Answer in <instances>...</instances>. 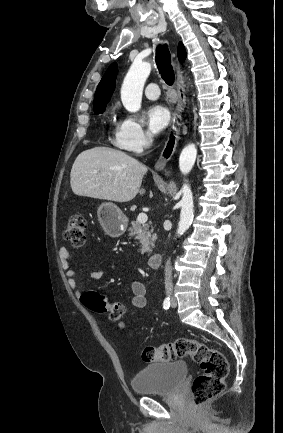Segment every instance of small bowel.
I'll list each match as a JSON object with an SVG mask.
<instances>
[{
	"mask_svg": "<svg viewBox=\"0 0 283 433\" xmlns=\"http://www.w3.org/2000/svg\"><path fill=\"white\" fill-rule=\"evenodd\" d=\"M59 257L71 290L76 297H80L81 292L75 278L76 272L71 266V260L73 259L72 253L66 247H61L59 249ZM104 274L105 272L103 270L93 271L90 273V277L93 280H101ZM130 290L132 305L138 309L144 308L147 304L145 285L140 281H133L130 285Z\"/></svg>",
	"mask_w": 283,
	"mask_h": 433,
	"instance_id": "small-bowel-1",
	"label": "small bowel"
}]
</instances>
